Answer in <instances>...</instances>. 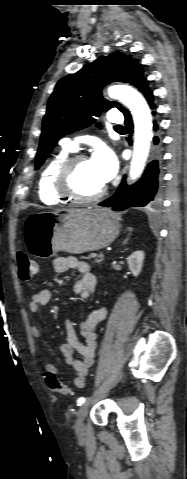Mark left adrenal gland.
I'll return each instance as SVG.
<instances>
[{
  "label": "left adrenal gland",
  "instance_id": "a2214340",
  "mask_svg": "<svg viewBox=\"0 0 187 479\" xmlns=\"http://www.w3.org/2000/svg\"><path fill=\"white\" fill-rule=\"evenodd\" d=\"M128 231H129V234H128V235H130V234H131V231H132V229H131V228H129V230H128ZM127 241H128V237H127L126 239H124V241H123V244H125Z\"/></svg>",
  "mask_w": 187,
  "mask_h": 479
}]
</instances>
